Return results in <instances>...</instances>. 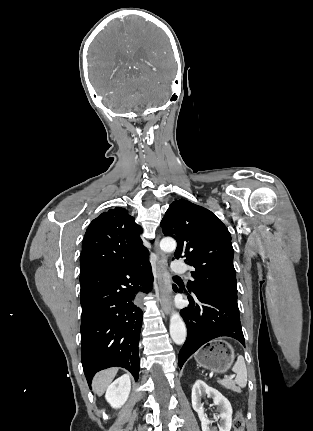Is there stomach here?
<instances>
[{"mask_svg":"<svg viewBox=\"0 0 313 431\" xmlns=\"http://www.w3.org/2000/svg\"><path fill=\"white\" fill-rule=\"evenodd\" d=\"M197 364L216 373L226 372L234 361V350L222 340H215L195 355Z\"/></svg>","mask_w":313,"mask_h":431,"instance_id":"1","label":"stomach"}]
</instances>
